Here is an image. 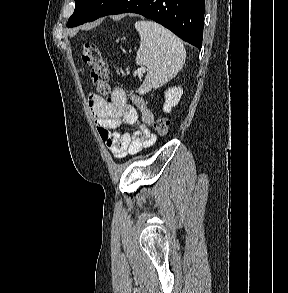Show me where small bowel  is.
Returning <instances> with one entry per match:
<instances>
[{"instance_id":"obj_1","label":"small bowel","mask_w":288,"mask_h":293,"mask_svg":"<svg viewBox=\"0 0 288 293\" xmlns=\"http://www.w3.org/2000/svg\"><path fill=\"white\" fill-rule=\"evenodd\" d=\"M89 108L101 140L114 157L136 155L155 143L156 136L150 129L154 116L141 97L128 96L124 89L116 86L108 100L91 94ZM123 124L134 127V134L117 131Z\"/></svg>"}]
</instances>
